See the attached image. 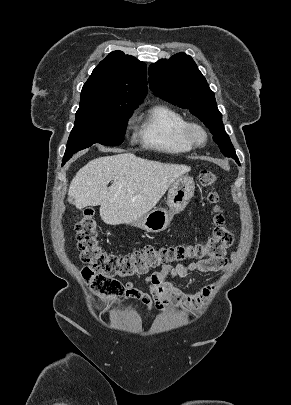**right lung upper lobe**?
<instances>
[{"label":"right lung upper lobe","mask_w":291,"mask_h":405,"mask_svg":"<svg viewBox=\"0 0 291 405\" xmlns=\"http://www.w3.org/2000/svg\"><path fill=\"white\" fill-rule=\"evenodd\" d=\"M146 64L122 51L111 52L93 70L81 91L80 107L137 108L147 94Z\"/></svg>","instance_id":"right-lung-upper-lobe-1"}]
</instances>
